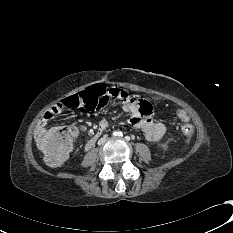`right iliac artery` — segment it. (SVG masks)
<instances>
[{
  "mask_svg": "<svg viewBox=\"0 0 233 233\" xmlns=\"http://www.w3.org/2000/svg\"><path fill=\"white\" fill-rule=\"evenodd\" d=\"M113 135H114V136H116V135H117V133H116V132H114V133H113Z\"/></svg>",
  "mask_w": 233,
  "mask_h": 233,
  "instance_id": "1",
  "label": "right iliac artery"
}]
</instances>
